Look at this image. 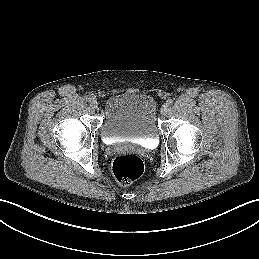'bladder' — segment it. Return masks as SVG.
Listing matches in <instances>:
<instances>
[{
  "label": "bladder",
  "mask_w": 259,
  "mask_h": 259,
  "mask_svg": "<svg viewBox=\"0 0 259 259\" xmlns=\"http://www.w3.org/2000/svg\"><path fill=\"white\" fill-rule=\"evenodd\" d=\"M100 136L104 141L133 140L139 143L158 138L157 105L142 93L110 96L103 106Z\"/></svg>",
  "instance_id": "obj_1"
}]
</instances>
